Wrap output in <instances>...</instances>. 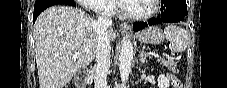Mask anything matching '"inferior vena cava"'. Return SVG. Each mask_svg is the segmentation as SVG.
Listing matches in <instances>:
<instances>
[{
  "label": "inferior vena cava",
  "mask_w": 227,
  "mask_h": 88,
  "mask_svg": "<svg viewBox=\"0 0 227 88\" xmlns=\"http://www.w3.org/2000/svg\"><path fill=\"white\" fill-rule=\"evenodd\" d=\"M112 25V19L98 15L96 20L97 50L96 65L94 71L95 88H107V73L110 67V37L108 29Z\"/></svg>",
  "instance_id": "602c4592"
}]
</instances>
